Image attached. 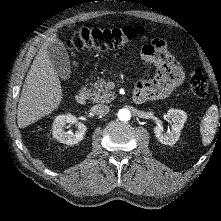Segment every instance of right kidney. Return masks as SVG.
I'll return each instance as SVG.
<instances>
[{"label": "right kidney", "mask_w": 221, "mask_h": 221, "mask_svg": "<svg viewBox=\"0 0 221 221\" xmlns=\"http://www.w3.org/2000/svg\"><path fill=\"white\" fill-rule=\"evenodd\" d=\"M73 123L77 125V131L75 133L71 131L65 132L64 126L66 124ZM52 128L53 137L59 142L67 145H74L80 142L84 138L87 129L83 123L78 122L76 117L71 114H63L57 116L54 120Z\"/></svg>", "instance_id": "right-kidney-1"}]
</instances>
